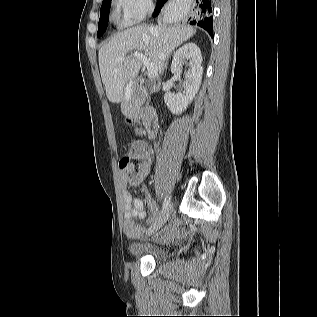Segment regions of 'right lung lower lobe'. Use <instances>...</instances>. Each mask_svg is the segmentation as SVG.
<instances>
[{"label": "right lung lower lobe", "instance_id": "right-lung-lower-lobe-1", "mask_svg": "<svg viewBox=\"0 0 317 317\" xmlns=\"http://www.w3.org/2000/svg\"><path fill=\"white\" fill-rule=\"evenodd\" d=\"M167 0H158L154 16ZM191 17L189 18V20ZM190 24L204 28L213 37L212 0H193L192 19Z\"/></svg>", "mask_w": 317, "mask_h": 317}]
</instances>
